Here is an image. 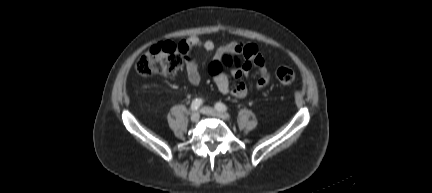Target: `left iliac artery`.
Instances as JSON below:
<instances>
[{
  "label": "left iliac artery",
  "instance_id": "left-iliac-artery-1",
  "mask_svg": "<svg viewBox=\"0 0 432 193\" xmlns=\"http://www.w3.org/2000/svg\"><path fill=\"white\" fill-rule=\"evenodd\" d=\"M215 108L219 111H226L227 110V106L221 102L216 103Z\"/></svg>",
  "mask_w": 432,
  "mask_h": 193
}]
</instances>
